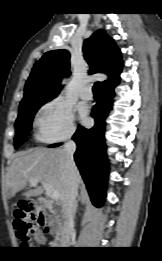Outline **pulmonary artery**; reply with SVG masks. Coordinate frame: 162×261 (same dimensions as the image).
Masks as SVG:
<instances>
[{"label": "pulmonary artery", "instance_id": "obj_1", "mask_svg": "<svg viewBox=\"0 0 162 261\" xmlns=\"http://www.w3.org/2000/svg\"><path fill=\"white\" fill-rule=\"evenodd\" d=\"M80 97L84 100H90L93 98V92L90 86H85L80 90Z\"/></svg>", "mask_w": 162, "mask_h": 261}]
</instances>
